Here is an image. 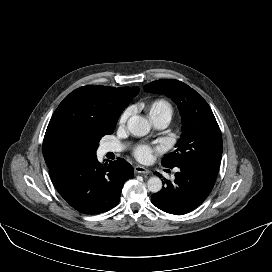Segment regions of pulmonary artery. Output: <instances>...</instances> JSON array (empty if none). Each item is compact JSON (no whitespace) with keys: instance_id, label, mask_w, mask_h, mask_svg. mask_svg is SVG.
<instances>
[{"instance_id":"obj_1","label":"pulmonary artery","mask_w":272,"mask_h":272,"mask_svg":"<svg viewBox=\"0 0 272 272\" xmlns=\"http://www.w3.org/2000/svg\"><path fill=\"white\" fill-rule=\"evenodd\" d=\"M154 127L157 129H164L167 127L168 125V120L166 119H159L156 120L154 122H152ZM105 150L106 151H113V152H117V151H121L122 150V146L116 145V144H107L105 146Z\"/></svg>"}]
</instances>
